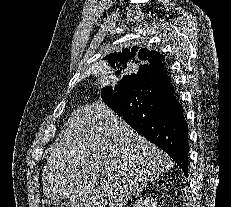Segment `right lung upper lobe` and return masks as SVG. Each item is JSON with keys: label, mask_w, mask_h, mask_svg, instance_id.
Listing matches in <instances>:
<instances>
[{"label": "right lung upper lobe", "mask_w": 231, "mask_h": 207, "mask_svg": "<svg viewBox=\"0 0 231 207\" xmlns=\"http://www.w3.org/2000/svg\"><path fill=\"white\" fill-rule=\"evenodd\" d=\"M112 71L115 74L120 75V71H124L130 68L132 64L144 63L142 66L147 65H160L162 68L163 55L155 51H149L146 48L141 49L139 52L135 47L130 49H124L122 52H115L105 57ZM126 77V76H125ZM124 77V78H125Z\"/></svg>", "instance_id": "obj_1"}]
</instances>
